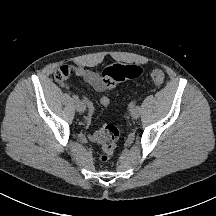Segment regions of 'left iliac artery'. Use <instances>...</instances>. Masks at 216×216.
I'll return each mask as SVG.
<instances>
[{
  "label": "left iliac artery",
  "mask_w": 216,
  "mask_h": 216,
  "mask_svg": "<svg viewBox=\"0 0 216 216\" xmlns=\"http://www.w3.org/2000/svg\"><path fill=\"white\" fill-rule=\"evenodd\" d=\"M135 102L134 101H132V102H130V104H129V107L132 109V108H134L135 107Z\"/></svg>",
  "instance_id": "44dca946"
}]
</instances>
